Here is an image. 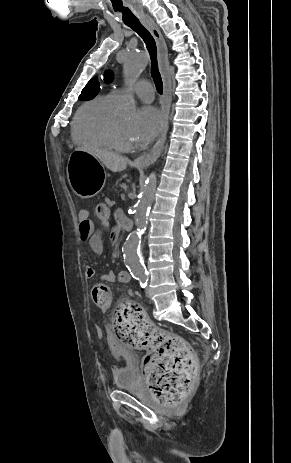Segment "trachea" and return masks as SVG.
I'll return each instance as SVG.
<instances>
[{
  "label": "trachea",
  "mask_w": 291,
  "mask_h": 463,
  "mask_svg": "<svg viewBox=\"0 0 291 463\" xmlns=\"http://www.w3.org/2000/svg\"><path fill=\"white\" fill-rule=\"evenodd\" d=\"M128 27L134 30L145 42L151 58V72L157 91L162 94L163 83L157 63L156 42L151 33L140 23V21L126 23Z\"/></svg>",
  "instance_id": "3493384b"
}]
</instances>
